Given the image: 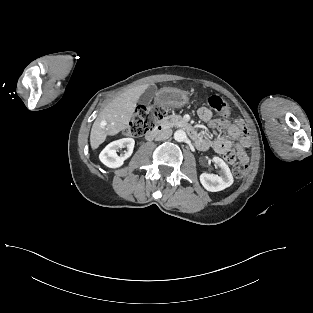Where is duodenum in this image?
I'll list each match as a JSON object with an SVG mask.
<instances>
[{
	"instance_id": "410a0bca",
	"label": "duodenum",
	"mask_w": 313,
	"mask_h": 313,
	"mask_svg": "<svg viewBox=\"0 0 313 313\" xmlns=\"http://www.w3.org/2000/svg\"><path fill=\"white\" fill-rule=\"evenodd\" d=\"M180 127L184 129L194 140L198 138L197 131L194 127H192L190 124L186 122H180L179 123ZM168 128L166 123H160L158 124L155 129L150 131L149 133L146 134V139L147 140H153L157 137H160Z\"/></svg>"
}]
</instances>
